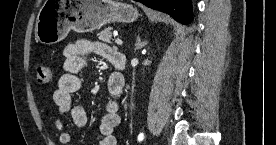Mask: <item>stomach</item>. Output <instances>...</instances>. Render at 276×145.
Returning a JSON list of instances; mask_svg holds the SVG:
<instances>
[{
  "mask_svg": "<svg viewBox=\"0 0 276 145\" xmlns=\"http://www.w3.org/2000/svg\"><path fill=\"white\" fill-rule=\"evenodd\" d=\"M139 16L131 5L112 0H46L39 10L35 35L45 45L79 33L100 29L111 22H133Z\"/></svg>",
  "mask_w": 276,
  "mask_h": 145,
  "instance_id": "1",
  "label": "stomach"
}]
</instances>
